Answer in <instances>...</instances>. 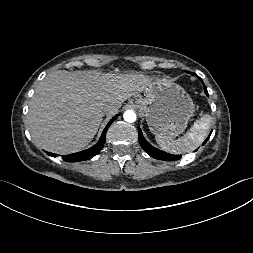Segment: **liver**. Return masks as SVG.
Here are the masks:
<instances>
[{"instance_id": "obj_1", "label": "liver", "mask_w": 253, "mask_h": 253, "mask_svg": "<svg viewBox=\"0 0 253 253\" xmlns=\"http://www.w3.org/2000/svg\"><path fill=\"white\" fill-rule=\"evenodd\" d=\"M143 74L59 70L37 87L27 116L34 142L46 151L70 154L94 138L105 114L125 100L146 91ZM113 105L111 113L104 111Z\"/></svg>"}]
</instances>
